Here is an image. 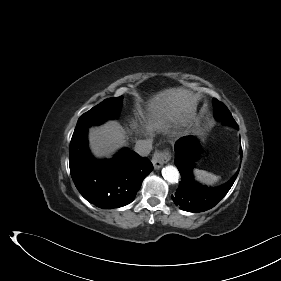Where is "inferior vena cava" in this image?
I'll use <instances>...</instances> for the list:
<instances>
[{
	"label": "inferior vena cava",
	"mask_w": 281,
	"mask_h": 281,
	"mask_svg": "<svg viewBox=\"0 0 281 281\" xmlns=\"http://www.w3.org/2000/svg\"><path fill=\"white\" fill-rule=\"evenodd\" d=\"M135 152L141 156H147L152 150V139L138 140L134 147Z\"/></svg>",
	"instance_id": "inferior-vena-cava-1"
}]
</instances>
